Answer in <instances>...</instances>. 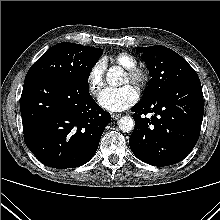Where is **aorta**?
Listing matches in <instances>:
<instances>
[{
    "instance_id": "1",
    "label": "aorta",
    "mask_w": 220,
    "mask_h": 220,
    "mask_svg": "<svg viewBox=\"0 0 220 220\" xmlns=\"http://www.w3.org/2000/svg\"><path fill=\"white\" fill-rule=\"evenodd\" d=\"M123 69L119 66L111 67L107 74V83L111 86L120 85L122 82ZM134 120L129 116H123L118 121V127L122 132L128 133L134 129Z\"/></svg>"
}]
</instances>
